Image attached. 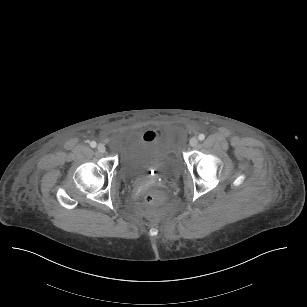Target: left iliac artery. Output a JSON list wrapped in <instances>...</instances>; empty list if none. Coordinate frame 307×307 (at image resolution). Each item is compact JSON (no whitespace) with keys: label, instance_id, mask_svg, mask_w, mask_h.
<instances>
[{"label":"left iliac artery","instance_id":"44dca946","mask_svg":"<svg viewBox=\"0 0 307 307\" xmlns=\"http://www.w3.org/2000/svg\"><path fill=\"white\" fill-rule=\"evenodd\" d=\"M198 139L201 140V141L204 140V139H205V135H204V134H200V135L198 136Z\"/></svg>","mask_w":307,"mask_h":307}]
</instances>
